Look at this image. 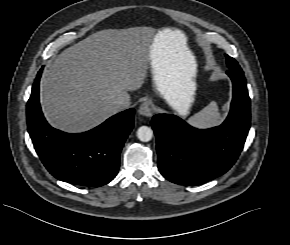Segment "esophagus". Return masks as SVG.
<instances>
[{
	"instance_id": "1",
	"label": "esophagus",
	"mask_w": 290,
	"mask_h": 245,
	"mask_svg": "<svg viewBox=\"0 0 290 245\" xmlns=\"http://www.w3.org/2000/svg\"><path fill=\"white\" fill-rule=\"evenodd\" d=\"M154 109L151 101H144L139 107V114L144 117H150L153 115Z\"/></svg>"
}]
</instances>
